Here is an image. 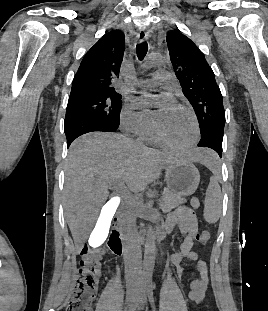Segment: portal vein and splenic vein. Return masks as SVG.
I'll list each match as a JSON object with an SVG mask.
<instances>
[{"label":"portal vein and splenic vein","mask_w":268,"mask_h":311,"mask_svg":"<svg viewBox=\"0 0 268 311\" xmlns=\"http://www.w3.org/2000/svg\"><path fill=\"white\" fill-rule=\"evenodd\" d=\"M113 185H115V184H113ZM115 186H116V188H117L118 190H121V192L127 193V191H126L125 186H124L123 183H118V184H116ZM114 199H116V198H113V200H114Z\"/></svg>","instance_id":"obj_1"}]
</instances>
